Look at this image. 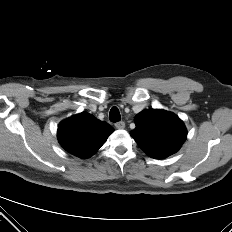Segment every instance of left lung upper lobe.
Here are the masks:
<instances>
[{
  "label": "left lung upper lobe",
  "instance_id": "left-lung-upper-lobe-1",
  "mask_svg": "<svg viewBox=\"0 0 232 232\" xmlns=\"http://www.w3.org/2000/svg\"><path fill=\"white\" fill-rule=\"evenodd\" d=\"M136 128L130 132L140 148L150 157L163 159L177 152L187 131L182 120L162 109H146L135 117Z\"/></svg>",
  "mask_w": 232,
  "mask_h": 232
}]
</instances>
